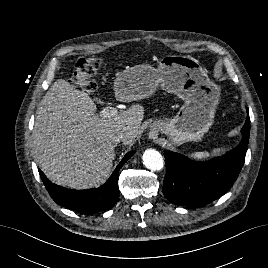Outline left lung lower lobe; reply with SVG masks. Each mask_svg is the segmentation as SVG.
Returning <instances> with one entry per match:
<instances>
[{"label": "left lung lower lobe", "mask_w": 268, "mask_h": 268, "mask_svg": "<svg viewBox=\"0 0 268 268\" xmlns=\"http://www.w3.org/2000/svg\"><path fill=\"white\" fill-rule=\"evenodd\" d=\"M249 132L248 114L241 129L242 140L239 145L225 155L206 162L194 161L179 153L164 151V196L173 204L197 207L209 204L226 193L244 164Z\"/></svg>", "instance_id": "left-lung-lower-lobe-1"}]
</instances>
